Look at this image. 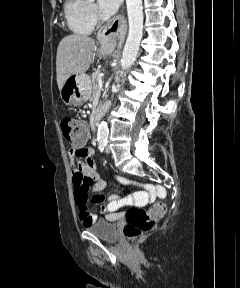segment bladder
I'll list each match as a JSON object with an SVG mask.
<instances>
[{
	"mask_svg": "<svg viewBox=\"0 0 240 288\" xmlns=\"http://www.w3.org/2000/svg\"><path fill=\"white\" fill-rule=\"evenodd\" d=\"M86 227L90 233L102 240L115 241L118 238V229L112 222L99 220Z\"/></svg>",
	"mask_w": 240,
	"mask_h": 288,
	"instance_id": "1",
	"label": "bladder"
}]
</instances>
